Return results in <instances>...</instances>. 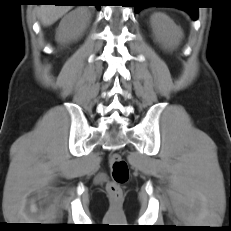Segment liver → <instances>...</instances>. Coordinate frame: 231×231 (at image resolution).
<instances>
[{"mask_svg":"<svg viewBox=\"0 0 231 231\" xmlns=\"http://www.w3.org/2000/svg\"><path fill=\"white\" fill-rule=\"evenodd\" d=\"M71 9V5H41L36 8V11L41 23L44 26H49L64 16Z\"/></svg>","mask_w":231,"mask_h":231,"instance_id":"liver-1","label":"liver"}]
</instances>
